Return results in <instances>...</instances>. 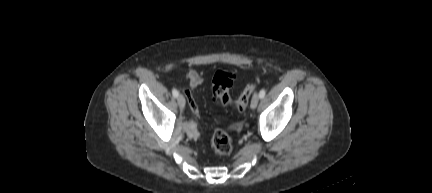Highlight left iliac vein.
<instances>
[{"label":"left iliac vein","mask_w":432,"mask_h":193,"mask_svg":"<svg viewBox=\"0 0 432 193\" xmlns=\"http://www.w3.org/2000/svg\"><path fill=\"white\" fill-rule=\"evenodd\" d=\"M258 103H259V95L258 93H255L251 100V104H250L251 109H256Z\"/></svg>","instance_id":"1"}]
</instances>
